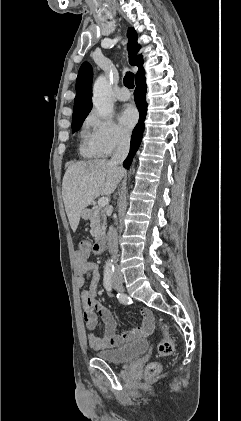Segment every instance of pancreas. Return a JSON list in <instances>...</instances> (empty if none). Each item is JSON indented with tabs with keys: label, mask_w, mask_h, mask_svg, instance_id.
Masks as SVG:
<instances>
[{
	"label": "pancreas",
	"mask_w": 241,
	"mask_h": 421,
	"mask_svg": "<svg viewBox=\"0 0 241 421\" xmlns=\"http://www.w3.org/2000/svg\"><path fill=\"white\" fill-rule=\"evenodd\" d=\"M91 234L94 237H102L106 231V216L99 207L94 208L90 218Z\"/></svg>",
	"instance_id": "pancreas-1"
}]
</instances>
